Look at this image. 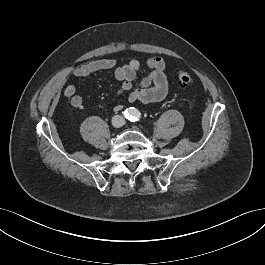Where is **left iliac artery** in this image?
Instances as JSON below:
<instances>
[{
	"label": "left iliac artery",
	"mask_w": 265,
	"mask_h": 265,
	"mask_svg": "<svg viewBox=\"0 0 265 265\" xmlns=\"http://www.w3.org/2000/svg\"><path fill=\"white\" fill-rule=\"evenodd\" d=\"M140 117H141L140 112L139 111H135L134 116H131L129 120L131 122H135V121H138L140 119Z\"/></svg>",
	"instance_id": "44dca946"
}]
</instances>
